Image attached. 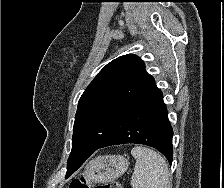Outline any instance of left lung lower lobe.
<instances>
[{
    "label": "left lung lower lobe",
    "mask_w": 224,
    "mask_h": 188,
    "mask_svg": "<svg viewBox=\"0 0 224 188\" xmlns=\"http://www.w3.org/2000/svg\"><path fill=\"white\" fill-rule=\"evenodd\" d=\"M173 130L167 117L163 95L153 86L140 96L124 113L117 126L98 147L126 143L145 144L159 150L172 163ZM84 161L67 169L70 176Z\"/></svg>",
    "instance_id": "left-lung-lower-lobe-1"
}]
</instances>
